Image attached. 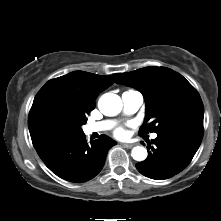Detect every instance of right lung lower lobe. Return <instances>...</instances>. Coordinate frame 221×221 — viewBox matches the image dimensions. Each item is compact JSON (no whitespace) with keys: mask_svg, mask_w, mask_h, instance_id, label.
Segmentation results:
<instances>
[{"mask_svg":"<svg viewBox=\"0 0 221 221\" xmlns=\"http://www.w3.org/2000/svg\"><path fill=\"white\" fill-rule=\"evenodd\" d=\"M116 142L106 135L87 143L85 134L64 135L33 142L41 160L60 178L82 183L103 168L108 150Z\"/></svg>","mask_w":221,"mask_h":221,"instance_id":"98d812e1","label":"right lung lower lobe"}]
</instances>
